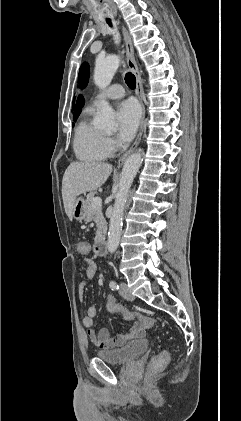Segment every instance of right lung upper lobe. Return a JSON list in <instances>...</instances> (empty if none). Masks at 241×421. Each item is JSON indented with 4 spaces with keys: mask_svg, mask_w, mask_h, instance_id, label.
Listing matches in <instances>:
<instances>
[{
    "mask_svg": "<svg viewBox=\"0 0 241 421\" xmlns=\"http://www.w3.org/2000/svg\"><path fill=\"white\" fill-rule=\"evenodd\" d=\"M83 105H84V98H83L82 95H80L77 99V103H76V106H75L74 118H78Z\"/></svg>",
    "mask_w": 241,
    "mask_h": 421,
    "instance_id": "obj_1",
    "label": "right lung upper lobe"
}]
</instances>
